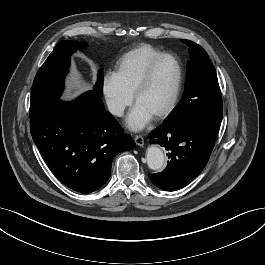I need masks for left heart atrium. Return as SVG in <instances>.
Wrapping results in <instances>:
<instances>
[{"label": "left heart atrium", "instance_id": "39dd6f15", "mask_svg": "<svg viewBox=\"0 0 265 265\" xmlns=\"http://www.w3.org/2000/svg\"><path fill=\"white\" fill-rule=\"evenodd\" d=\"M152 120V116L143 110L141 107L135 105L127 117V125L131 130H142Z\"/></svg>", "mask_w": 265, "mask_h": 265}]
</instances>
